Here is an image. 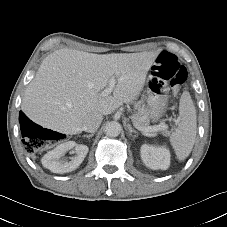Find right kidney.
Wrapping results in <instances>:
<instances>
[{"label": "right kidney", "instance_id": "obj_1", "mask_svg": "<svg viewBox=\"0 0 227 227\" xmlns=\"http://www.w3.org/2000/svg\"><path fill=\"white\" fill-rule=\"evenodd\" d=\"M72 150V157H65V154ZM88 146L77 144L74 141H68L58 145L52 151L46 153L42 158V164L45 168L54 173H67L75 170L83 162L88 153Z\"/></svg>", "mask_w": 227, "mask_h": 227}]
</instances>
